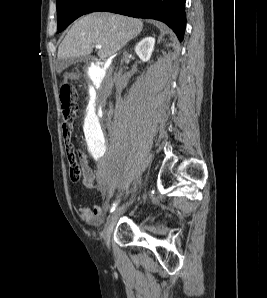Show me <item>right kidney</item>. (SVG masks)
Returning a JSON list of instances; mask_svg holds the SVG:
<instances>
[{"label":"right kidney","mask_w":267,"mask_h":298,"mask_svg":"<svg viewBox=\"0 0 267 298\" xmlns=\"http://www.w3.org/2000/svg\"><path fill=\"white\" fill-rule=\"evenodd\" d=\"M154 45V37H145L135 46V52L143 62H147L151 58Z\"/></svg>","instance_id":"1"}]
</instances>
